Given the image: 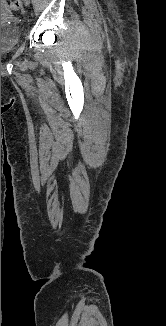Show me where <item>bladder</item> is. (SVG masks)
I'll return each instance as SVG.
<instances>
[{"instance_id": "31cf9c89", "label": "bladder", "mask_w": 166, "mask_h": 326, "mask_svg": "<svg viewBox=\"0 0 166 326\" xmlns=\"http://www.w3.org/2000/svg\"><path fill=\"white\" fill-rule=\"evenodd\" d=\"M8 10L6 4L1 2V13ZM20 39V29L14 25L1 24V55L14 49Z\"/></svg>"}]
</instances>
